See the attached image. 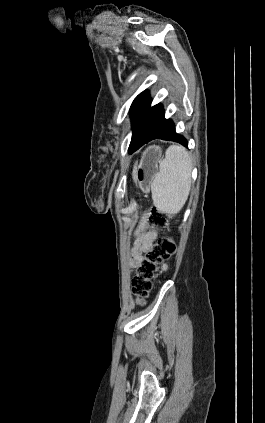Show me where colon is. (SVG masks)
<instances>
[{
    "label": "colon",
    "instance_id": "1",
    "mask_svg": "<svg viewBox=\"0 0 265 423\" xmlns=\"http://www.w3.org/2000/svg\"><path fill=\"white\" fill-rule=\"evenodd\" d=\"M168 223V216L155 208L148 211L144 216L143 225L139 233L147 226L158 228L165 227ZM176 252V244L171 237H162L152 243L145 251L142 259L136 267L135 275L132 279V292L139 300L140 304L145 303V299L152 289V281L158 270V266L170 259Z\"/></svg>",
    "mask_w": 265,
    "mask_h": 423
}]
</instances>
